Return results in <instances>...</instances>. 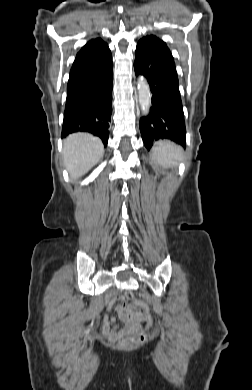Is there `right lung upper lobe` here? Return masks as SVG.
Here are the masks:
<instances>
[{
    "mask_svg": "<svg viewBox=\"0 0 252 390\" xmlns=\"http://www.w3.org/2000/svg\"><path fill=\"white\" fill-rule=\"evenodd\" d=\"M112 55L107 44L97 38L84 45L76 56L68 84L102 75L112 67Z\"/></svg>",
    "mask_w": 252,
    "mask_h": 390,
    "instance_id": "right-lung-upper-lobe-1",
    "label": "right lung upper lobe"
}]
</instances>
